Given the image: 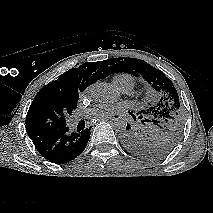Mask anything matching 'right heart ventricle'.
I'll return each instance as SVG.
<instances>
[{"mask_svg":"<svg viewBox=\"0 0 213 213\" xmlns=\"http://www.w3.org/2000/svg\"><path fill=\"white\" fill-rule=\"evenodd\" d=\"M113 84L120 90L126 87L132 90L135 86V79L130 74L120 73L113 77Z\"/></svg>","mask_w":213,"mask_h":213,"instance_id":"e07e8e85","label":"right heart ventricle"}]
</instances>
